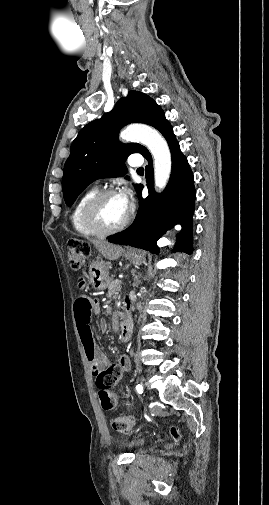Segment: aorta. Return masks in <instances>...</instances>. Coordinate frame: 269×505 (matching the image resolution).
I'll list each match as a JSON object with an SVG mask.
<instances>
[{
	"instance_id": "aorta-1",
	"label": "aorta",
	"mask_w": 269,
	"mask_h": 505,
	"mask_svg": "<svg viewBox=\"0 0 269 505\" xmlns=\"http://www.w3.org/2000/svg\"><path fill=\"white\" fill-rule=\"evenodd\" d=\"M126 141H138L151 152L154 160L155 186L164 189L171 173V153L160 133L146 125H130L121 133Z\"/></svg>"
}]
</instances>
